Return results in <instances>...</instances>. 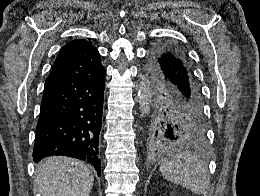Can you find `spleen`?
Returning a JSON list of instances; mask_svg holds the SVG:
<instances>
[{
	"mask_svg": "<svg viewBox=\"0 0 260 196\" xmlns=\"http://www.w3.org/2000/svg\"><path fill=\"white\" fill-rule=\"evenodd\" d=\"M159 170L165 180L188 188L194 194H205L209 186L207 164L189 152L165 158Z\"/></svg>",
	"mask_w": 260,
	"mask_h": 196,
	"instance_id": "obj_1",
	"label": "spleen"
}]
</instances>
